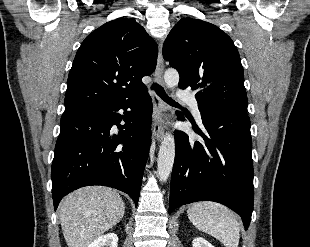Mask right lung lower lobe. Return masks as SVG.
Instances as JSON below:
<instances>
[{
	"mask_svg": "<svg viewBox=\"0 0 310 247\" xmlns=\"http://www.w3.org/2000/svg\"><path fill=\"white\" fill-rule=\"evenodd\" d=\"M120 109L126 116L118 113ZM151 117L147 92L121 103L64 111L51 171L54 210L65 195L88 185L116 188L137 206L150 148ZM122 119L124 125H120ZM114 125L117 134L111 129Z\"/></svg>",
	"mask_w": 310,
	"mask_h": 247,
	"instance_id": "98d812e1",
	"label": "right lung lower lobe"
}]
</instances>
